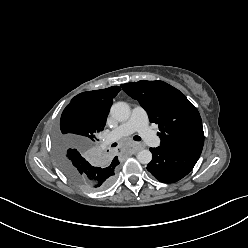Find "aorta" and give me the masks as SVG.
Listing matches in <instances>:
<instances>
[{"label":"aorta","instance_id":"obj_1","mask_svg":"<svg viewBox=\"0 0 248 248\" xmlns=\"http://www.w3.org/2000/svg\"><path fill=\"white\" fill-rule=\"evenodd\" d=\"M110 114L119 122L126 121L130 117V107L125 102H117L112 105ZM137 160L142 164H148L152 160V153L147 149L141 150L137 153Z\"/></svg>","mask_w":248,"mask_h":248}]
</instances>
